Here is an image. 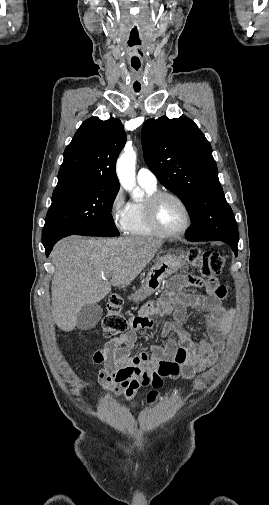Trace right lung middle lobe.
Listing matches in <instances>:
<instances>
[{"label": "right lung middle lobe", "instance_id": "right-lung-middle-lobe-1", "mask_svg": "<svg viewBox=\"0 0 269 505\" xmlns=\"http://www.w3.org/2000/svg\"><path fill=\"white\" fill-rule=\"evenodd\" d=\"M118 190L101 185L55 188L42 232L43 242L61 234L119 236L111 215Z\"/></svg>", "mask_w": 269, "mask_h": 505}]
</instances>
